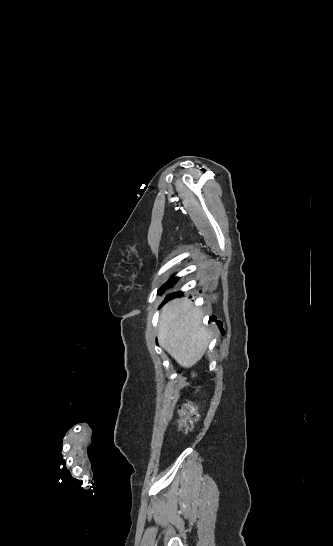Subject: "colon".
<instances>
[{
	"label": "colon",
	"instance_id": "colon-1",
	"mask_svg": "<svg viewBox=\"0 0 333 546\" xmlns=\"http://www.w3.org/2000/svg\"><path fill=\"white\" fill-rule=\"evenodd\" d=\"M179 415V428L183 432H188L192 430L195 423L198 421V413L196 407L190 402H186L180 407Z\"/></svg>",
	"mask_w": 333,
	"mask_h": 546
}]
</instances>
